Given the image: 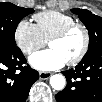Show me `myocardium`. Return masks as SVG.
<instances>
[{
    "label": "myocardium",
    "instance_id": "f54148a6",
    "mask_svg": "<svg viewBox=\"0 0 102 102\" xmlns=\"http://www.w3.org/2000/svg\"><path fill=\"white\" fill-rule=\"evenodd\" d=\"M76 29H81L82 32L84 33V45H83L80 53L75 58L66 62V64L68 66H75V65L79 64L84 59V57L86 56V54L88 52L89 43H90V34H89L87 27L82 23L75 22V23L65 27L58 33H56L54 36H52L50 38V40L48 42V44H50L54 41H60L64 38H66L68 35H70Z\"/></svg>",
    "mask_w": 102,
    "mask_h": 102
}]
</instances>
